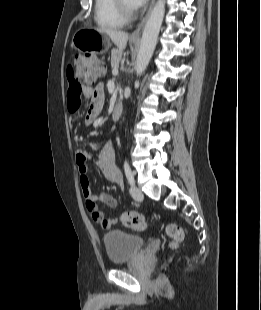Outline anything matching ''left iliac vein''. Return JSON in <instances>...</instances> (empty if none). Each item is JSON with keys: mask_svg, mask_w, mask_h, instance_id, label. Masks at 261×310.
Returning a JSON list of instances; mask_svg holds the SVG:
<instances>
[{"mask_svg": "<svg viewBox=\"0 0 261 310\" xmlns=\"http://www.w3.org/2000/svg\"><path fill=\"white\" fill-rule=\"evenodd\" d=\"M130 194L132 198L136 201H142L144 198L143 192L138 187L135 186H132L130 188Z\"/></svg>", "mask_w": 261, "mask_h": 310, "instance_id": "4c4485c4", "label": "left iliac vein"}]
</instances>
